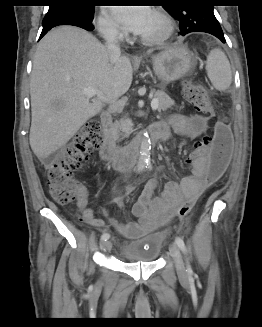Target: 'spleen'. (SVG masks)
Listing matches in <instances>:
<instances>
[{
    "label": "spleen",
    "mask_w": 262,
    "mask_h": 327,
    "mask_svg": "<svg viewBox=\"0 0 262 327\" xmlns=\"http://www.w3.org/2000/svg\"><path fill=\"white\" fill-rule=\"evenodd\" d=\"M206 71L215 89L224 91L230 87L232 82L230 63L220 49L210 51L207 56Z\"/></svg>",
    "instance_id": "spleen-1"
}]
</instances>
